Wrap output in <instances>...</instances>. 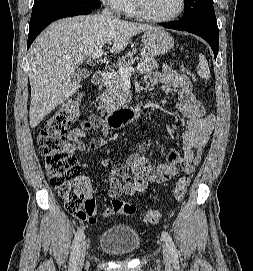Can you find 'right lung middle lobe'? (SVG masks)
<instances>
[{
    "label": "right lung middle lobe",
    "instance_id": "right-lung-middle-lobe-1",
    "mask_svg": "<svg viewBox=\"0 0 253 271\" xmlns=\"http://www.w3.org/2000/svg\"><path fill=\"white\" fill-rule=\"evenodd\" d=\"M76 5H83L96 9L101 6V2L100 0H35L30 22L49 11Z\"/></svg>",
    "mask_w": 253,
    "mask_h": 271
}]
</instances>
